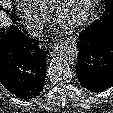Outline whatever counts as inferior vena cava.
<instances>
[{"instance_id": "obj_1", "label": "inferior vena cava", "mask_w": 113, "mask_h": 113, "mask_svg": "<svg viewBox=\"0 0 113 113\" xmlns=\"http://www.w3.org/2000/svg\"><path fill=\"white\" fill-rule=\"evenodd\" d=\"M28 32L31 36H37L42 32V25L38 22L28 26Z\"/></svg>"}]
</instances>
